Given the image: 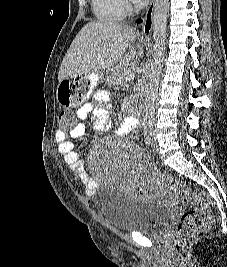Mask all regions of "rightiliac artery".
<instances>
[{"label": "right iliac artery", "mask_w": 227, "mask_h": 267, "mask_svg": "<svg viewBox=\"0 0 227 267\" xmlns=\"http://www.w3.org/2000/svg\"><path fill=\"white\" fill-rule=\"evenodd\" d=\"M145 141H146V144H147L148 146L151 145V134H150V133H146V134H145Z\"/></svg>", "instance_id": "82829eb1"}]
</instances>
